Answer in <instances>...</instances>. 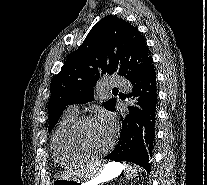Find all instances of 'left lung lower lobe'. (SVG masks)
Segmentation results:
<instances>
[{"label":"left lung lower lobe","mask_w":207,"mask_h":185,"mask_svg":"<svg viewBox=\"0 0 207 185\" xmlns=\"http://www.w3.org/2000/svg\"><path fill=\"white\" fill-rule=\"evenodd\" d=\"M129 81L133 85V92L123 95L120 99L133 97L136 100L135 106H128L130 115L126 116L120 140L105 159L132 162L151 172L157 112L154 65L151 64Z\"/></svg>","instance_id":"left-lung-lower-lobe-1"}]
</instances>
